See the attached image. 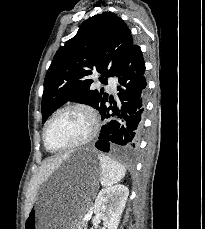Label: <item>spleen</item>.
<instances>
[{
  "instance_id": "spleen-1",
  "label": "spleen",
  "mask_w": 205,
  "mask_h": 229,
  "mask_svg": "<svg viewBox=\"0 0 205 229\" xmlns=\"http://www.w3.org/2000/svg\"><path fill=\"white\" fill-rule=\"evenodd\" d=\"M99 163L101 166V185L111 186L125 176L126 169L119 162L109 158L106 155H98Z\"/></svg>"
}]
</instances>
